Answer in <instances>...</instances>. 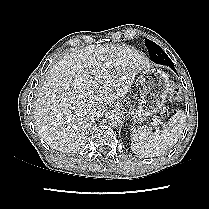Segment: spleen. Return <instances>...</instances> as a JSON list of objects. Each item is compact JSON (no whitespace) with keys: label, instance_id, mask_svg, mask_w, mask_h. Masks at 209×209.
<instances>
[{"label":"spleen","instance_id":"spleen-1","mask_svg":"<svg viewBox=\"0 0 209 209\" xmlns=\"http://www.w3.org/2000/svg\"><path fill=\"white\" fill-rule=\"evenodd\" d=\"M185 122L186 115L178 110L162 131L152 132L147 126L134 129L131 135V150L141 157L163 155L176 144L183 133Z\"/></svg>","mask_w":209,"mask_h":209}]
</instances>
